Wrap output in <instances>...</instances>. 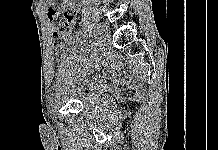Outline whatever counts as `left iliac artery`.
Wrapping results in <instances>:
<instances>
[{
  "label": "left iliac artery",
  "instance_id": "left-iliac-artery-1",
  "mask_svg": "<svg viewBox=\"0 0 218 150\" xmlns=\"http://www.w3.org/2000/svg\"><path fill=\"white\" fill-rule=\"evenodd\" d=\"M91 31H92V35H95L93 45L97 46L100 36L98 35L97 30H95L94 28ZM96 48L99 50L101 47L98 45ZM96 48L93 50L95 53L98 51ZM92 63H93V61H88V63L86 64L87 65L86 68L88 70L91 68L90 66L92 65Z\"/></svg>",
  "mask_w": 218,
  "mask_h": 150
}]
</instances>
